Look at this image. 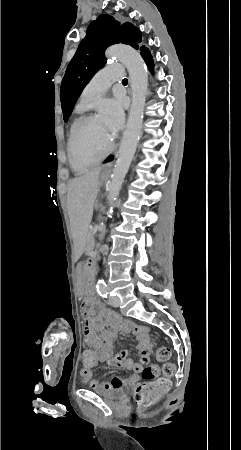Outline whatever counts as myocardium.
Segmentation results:
<instances>
[{
  "label": "myocardium",
  "mask_w": 241,
  "mask_h": 450,
  "mask_svg": "<svg viewBox=\"0 0 241 450\" xmlns=\"http://www.w3.org/2000/svg\"><path fill=\"white\" fill-rule=\"evenodd\" d=\"M86 119H87L86 116H82V117L78 118V120H76L73 123V126L71 128V133H70L71 136L69 137V142L71 144H68V149H69L68 156L71 157L70 158L71 162H77L78 161V156L76 155V150L74 148V144H75L76 140H79L78 136H80L81 131L77 127H80V124H82ZM107 156H108V153H107L106 157ZM99 161L103 162L104 160H99Z\"/></svg>",
  "instance_id": "myocardium-1"
}]
</instances>
